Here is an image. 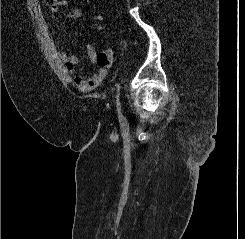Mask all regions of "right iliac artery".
<instances>
[{
	"label": "right iliac artery",
	"mask_w": 245,
	"mask_h": 239,
	"mask_svg": "<svg viewBox=\"0 0 245 239\" xmlns=\"http://www.w3.org/2000/svg\"><path fill=\"white\" fill-rule=\"evenodd\" d=\"M116 107L118 112L121 111V104H120V83L117 84V92H116Z\"/></svg>",
	"instance_id": "obj_1"
}]
</instances>
